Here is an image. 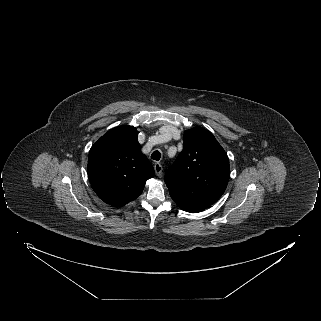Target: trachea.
I'll return each mask as SVG.
<instances>
[{"label":"trachea","instance_id":"trachea-1","mask_svg":"<svg viewBox=\"0 0 321 321\" xmlns=\"http://www.w3.org/2000/svg\"><path fill=\"white\" fill-rule=\"evenodd\" d=\"M151 158L153 160L159 161L161 158V153L158 150H156L151 154Z\"/></svg>","mask_w":321,"mask_h":321}]
</instances>
